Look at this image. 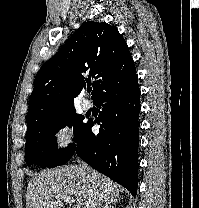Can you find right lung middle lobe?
Segmentation results:
<instances>
[{
    "label": "right lung middle lobe",
    "instance_id": "right-lung-middle-lobe-1",
    "mask_svg": "<svg viewBox=\"0 0 199 208\" xmlns=\"http://www.w3.org/2000/svg\"><path fill=\"white\" fill-rule=\"evenodd\" d=\"M84 117L75 111L64 114L26 133L25 161L28 166L56 167L67 163L75 153L82 133L87 126ZM66 125L73 126L76 144L58 151L55 134Z\"/></svg>",
    "mask_w": 199,
    "mask_h": 208
}]
</instances>
